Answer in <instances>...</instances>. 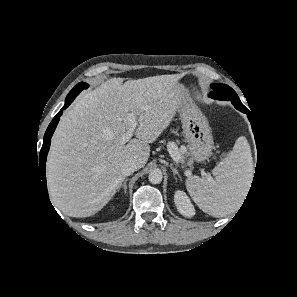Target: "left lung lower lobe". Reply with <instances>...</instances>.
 I'll use <instances>...</instances> for the list:
<instances>
[{
  "mask_svg": "<svg viewBox=\"0 0 297 297\" xmlns=\"http://www.w3.org/2000/svg\"><path fill=\"white\" fill-rule=\"evenodd\" d=\"M235 108L243 113H246L248 115V118H249L251 124H252V120H251L252 115H251V112L247 108H245V107H235ZM256 166H257V164H256Z\"/></svg>",
  "mask_w": 297,
  "mask_h": 297,
  "instance_id": "1",
  "label": "left lung lower lobe"
}]
</instances>
